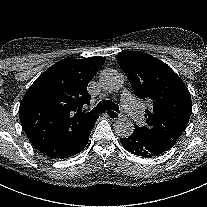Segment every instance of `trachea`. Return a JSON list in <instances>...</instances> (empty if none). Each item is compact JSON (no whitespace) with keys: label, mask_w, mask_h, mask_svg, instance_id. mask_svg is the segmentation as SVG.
Segmentation results:
<instances>
[{"label":"trachea","mask_w":207,"mask_h":207,"mask_svg":"<svg viewBox=\"0 0 207 207\" xmlns=\"http://www.w3.org/2000/svg\"><path fill=\"white\" fill-rule=\"evenodd\" d=\"M109 110H114L118 112L119 108L115 103L109 100H102L98 103V105L94 109L90 111V113L96 114V113L105 112Z\"/></svg>","instance_id":"3493384b"}]
</instances>
